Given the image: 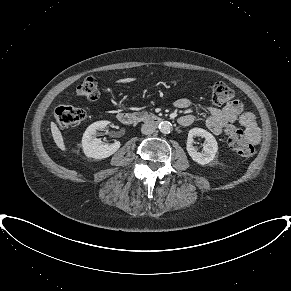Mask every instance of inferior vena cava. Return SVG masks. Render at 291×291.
Segmentation results:
<instances>
[{"label":"inferior vena cava","instance_id":"inferior-vena-cava-1","mask_svg":"<svg viewBox=\"0 0 291 291\" xmlns=\"http://www.w3.org/2000/svg\"><path fill=\"white\" fill-rule=\"evenodd\" d=\"M155 125L152 122H145L141 127L143 134H152L155 131Z\"/></svg>","mask_w":291,"mask_h":291}]
</instances>
